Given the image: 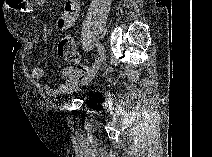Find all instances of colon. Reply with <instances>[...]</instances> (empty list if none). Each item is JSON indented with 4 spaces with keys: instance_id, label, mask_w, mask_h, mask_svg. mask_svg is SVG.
<instances>
[{
    "instance_id": "1",
    "label": "colon",
    "mask_w": 212,
    "mask_h": 157,
    "mask_svg": "<svg viewBox=\"0 0 212 157\" xmlns=\"http://www.w3.org/2000/svg\"><path fill=\"white\" fill-rule=\"evenodd\" d=\"M57 53L65 62L76 65L75 74L80 79H83L86 76L88 69L81 64V56L73 37L69 35L62 36L57 44Z\"/></svg>"
}]
</instances>
